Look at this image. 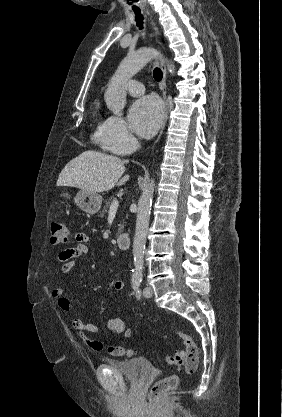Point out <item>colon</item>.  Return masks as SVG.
Here are the masks:
<instances>
[{
	"label": "colon",
	"mask_w": 282,
	"mask_h": 417,
	"mask_svg": "<svg viewBox=\"0 0 282 417\" xmlns=\"http://www.w3.org/2000/svg\"><path fill=\"white\" fill-rule=\"evenodd\" d=\"M70 238V232L68 227L60 221H53L50 228V241L53 244H62L66 243ZM169 330L181 339L183 346L188 352V358L186 359L187 366L186 371L182 373L191 374L197 370L199 363V347L193 340V338L187 333L182 332L175 325H168ZM116 355L121 353L119 348L114 350ZM177 354L170 360L173 366L177 369L182 367L180 360L183 357L182 352H176ZM122 354L124 356H129L131 354V349L129 347H124L122 349ZM179 379L175 375L167 376L164 379H156L155 384L152 385V389L147 390V397L149 403H166L167 395L166 393H171L172 388L177 387Z\"/></svg>",
	"instance_id": "colon-1"
}]
</instances>
